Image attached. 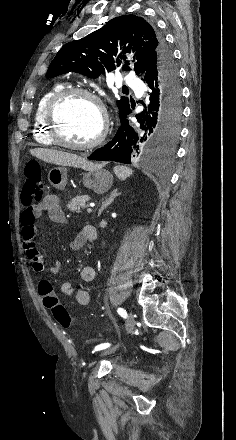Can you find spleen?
Returning a JSON list of instances; mask_svg holds the SVG:
<instances>
[{
	"instance_id": "obj_1",
	"label": "spleen",
	"mask_w": 236,
	"mask_h": 440,
	"mask_svg": "<svg viewBox=\"0 0 236 440\" xmlns=\"http://www.w3.org/2000/svg\"><path fill=\"white\" fill-rule=\"evenodd\" d=\"M114 173L119 179L125 180L133 174V170L129 167L118 165L114 167Z\"/></svg>"
}]
</instances>
